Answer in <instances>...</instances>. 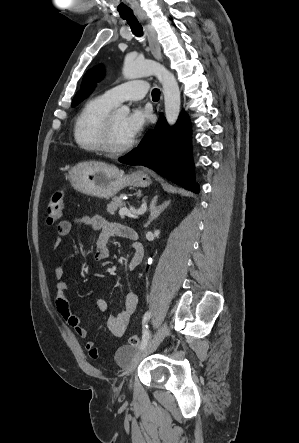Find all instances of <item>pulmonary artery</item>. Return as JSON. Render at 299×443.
<instances>
[{
  "label": "pulmonary artery",
  "instance_id": "obj_1",
  "mask_svg": "<svg viewBox=\"0 0 299 443\" xmlns=\"http://www.w3.org/2000/svg\"><path fill=\"white\" fill-rule=\"evenodd\" d=\"M148 92V83L144 80H133L119 84L107 90L104 95L117 104L125 100H140Z\"/></svg>",
  "mask_w": 299,
  "mask_h": 443
}]
</instances>
